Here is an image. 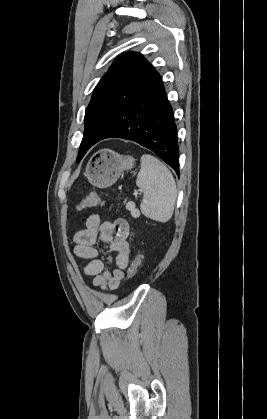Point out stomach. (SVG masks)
Returning a JSON list of instances; mask_svg holds the SVG:
<instances>
[{
  "label": "stomach",
  "instance_id": "obj_1",
  "mask_svg": "<svg viewBox=\"0 0 267 419\" xmlns=\"http://www.w3.org/2000/svg\"><path fill=\"white\" fill-rule=\"evenodd\" d=\"M135 158L123 156L110 149H101L89 159L85 176L95 187L107 188L113 185L124 170L132 169Z\"/></svg>",
  "mask_w": 267,
  "mask_h": 419
}]
</instances>
